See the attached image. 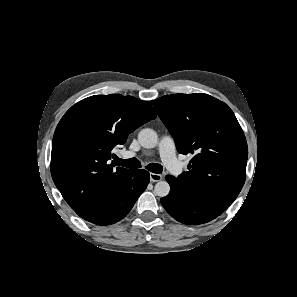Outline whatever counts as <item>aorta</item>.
I'll use <instances>...</instances> for the list:
<instances>
[{
  "label": "aorta",
  "instance_id": "aorta-1",
  "mask_svg": "<svg viewBox=\"0 0 297 297\" xmlns=\"http://www.w3.org/2000/svg\"><path fill=\"white\" fill-rule=\"evenodd\" d=\"M138 141L143 148H154L158 142L157 133L150 128L142 129L138 134ZM170 186L167 181L160 180L154 187V193L159 197H165L169 194Z\"/></svg>",
  "mask_w": 297,
  "mask_h": 297
}]
</instances>
